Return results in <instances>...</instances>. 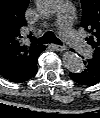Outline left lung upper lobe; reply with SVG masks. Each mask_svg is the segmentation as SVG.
Returning a JSON list of instances; mask_svg holds the SVG:
<instances>
[{
	"mask_svg": "<svg viewBox=\"0 0 100 118\" xmlns=\"http://www.w3.org/2000/svg\"><path fill=\"white\" fill-rule=\"evenodd\" d=\"M81 3V25L90 33L86 40L94 49L93 56L100 59V0H81Z\"/></svg>",
	"mask_w": 100,
	"mask_h": 118,
	"instance_id": "5c2ea615",
	"label": "left lung upper lobe"
}]
</instances>
